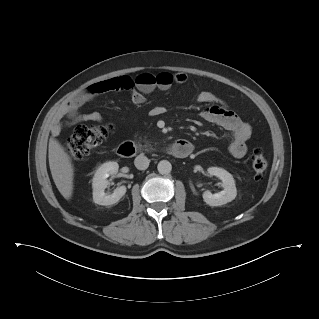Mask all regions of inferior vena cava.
I'll return each mask as SVG.
<instances>
[{"instance_id": "inferior-vena-cava-1", "label": "inferior vena cava", "mask_w": 319, "mask_h": 319, "mask_svg": "<svg viewBox=\"0 0 319 319\" xmlns=\"http://www.w3.org/2000/svg\"><path fill=\"white\" fill-rule=\"evenodd\" d=\"M149 163V159L143 154L138 155L134 160V164L139 170H146L149 166Z\"/></svg>"}]
</instances>
